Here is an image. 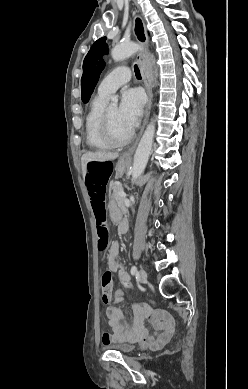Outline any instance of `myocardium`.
Listing matches in <instances>:
<instances>
[{
    "label": "myocardium",
    "mask_w": 248,
    "mask_h": 389,
    "mask_svg": "<svg viewBox=\"0 0 248 389\" xmlns=\"http://www.w3.org/2000/svg\"><path fill=\"white\" fill-rule=\"evenodd\" d=\"M102 136L104 139L110 143L112 146H123L129 143L133 137V131L130 132L125 137H118L113 131L111 119L109 116L108 108L104 109L102 116V127H101Z\"/></svg>",
    "instance_id": "f54148a6"
}]
</instances>
